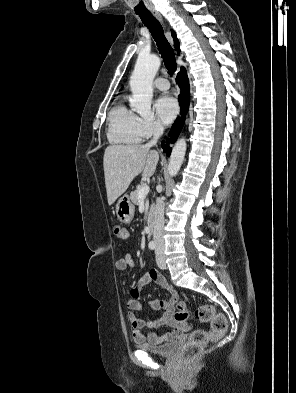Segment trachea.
Listing matches in <instances>:
<instances>
[{"label": "trachea", "instance_id": "3493384b", "mask_svg": "<svg viewBox=\"0 0 296 393\" xmlns=\"http://www.w3.org/2000/svg\"><path fill=\"white\" fill-rule=\"evenodd\" d=\"M137 14L151 32L167 70L173 74L177 69V63L174 51L164 35L161 24L149 11Z\"/></svg>", "mask_w": 296, "mask_h": 393}]
</instances>
